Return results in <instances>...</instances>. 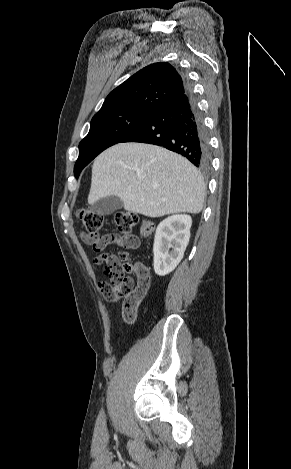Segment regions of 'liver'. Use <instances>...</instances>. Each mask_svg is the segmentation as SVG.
Listing matches in <instances>:
<instances>
[{
    "instance_id": "1",
    "label": "liver",
    "mask_w": 291,
    "mask_h": 469,
    "mask_svg": "<svg viewBox=\"0 0 291 469\" xmlns=\"http://www.w3.org/2000/svg\"><path fill=\"white\" fill-rule=\"evenodd\" d=\"M206 186L184 157L142 143H119L95 159L88 203L117 196L124 209L151 218L201 212Z\"/></svg>"
}]
</instances>
